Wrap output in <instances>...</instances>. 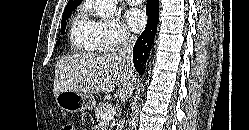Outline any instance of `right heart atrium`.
Listing matches in <instances>:
<instances>
[{
    "mask_svg": "<svg viewBox=\"0 0 249 130\" xmlns=\"http://www.w3.org/2000/svg\"><path fill=\"white\" fill-rule=\"evenodd\" d=\"M97 29L106 52H114L130 46L134 36L119 19L97 21Z\"/></svg>",
    "mask_w": 249,
    "mask_h": 130,
    "instance_id": "1",
    "label": "right heart atrium"
}]
</instances>
